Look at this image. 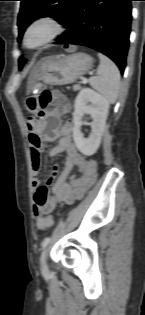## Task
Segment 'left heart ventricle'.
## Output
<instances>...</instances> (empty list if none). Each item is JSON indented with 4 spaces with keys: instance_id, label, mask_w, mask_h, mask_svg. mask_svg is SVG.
Masks as SVG:
<instances>
[{
    "instance_id": "1",
    "label": "left heart ventricle",
    "mask_w": 145,
    "mask_h": 315,
    "mask_svg": "<svg viewBox=\"0 0 145 315\" xmlns=\"http://www.w3.org/2000/svg\"><path fill=\"white\" fill-rule=\"evenodd\" d=\"M47 29L45 27H38L31 31L28 37V42L30 45H35L39 43L45 36Z\"/></svg>"
}]
</instances>
